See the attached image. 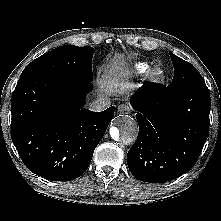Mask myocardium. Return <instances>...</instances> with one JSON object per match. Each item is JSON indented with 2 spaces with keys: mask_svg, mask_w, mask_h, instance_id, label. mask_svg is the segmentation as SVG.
<instances>
[{
  "mask_svg": "<svg viewBox=\"0 0 221 221\" xmlns=\"http://www.w3.org/2000/svg\"><path fill=\"white\" fill-rule=\"evenodd\" d=\"M147 78L151 82L158 83L164 80L165 72L160 66H154L148 71Z\"/></svg>",
  "mask_w": 221,
  "mask_h": 221,
  "instance_id": "f54148a6",
  "label": "myocardium"
}]
</instances>
